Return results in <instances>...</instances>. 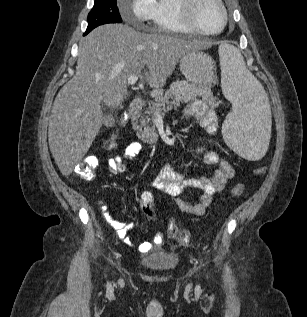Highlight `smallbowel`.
I'll use <instances>...</instances> for the list:
<instances>
[{
    "mask_svg": "<svg viewBox=\"0 0 307 317\" xmlns=\"http://www.w3.org/2000/svg\"><path fill=\"white\" fill-rule=\"evenodd\" d=\"M184 116L196 118L200 125L210 134H215L218 129L215 112L209 109L202 101L190 103L184 111ZM142 150L143 145L140 142L128 144L120 154L108 158V170L113 174L124 172L126 163L133 160ZM205 163L217 166L211 177L190 178L186 173L172 166H165L154 180L153 185L156 189L171 195L182 212L202 216L213 197L224 189L227 182L235 174L232 165L228 161L220 159L216 153L206 154ZM190 189H198L200 191L198 198L193 202L182 199V196ZM102 213L107 223L117 230L118 236L124 239L128 245H134L130 239L126 238L130 225L113 219L109 214V206L107 204L102 206ZM162 242V234L157 233L152 242H143L138 245V249L142 253H147L154 247L159 248Z\"/></svg>",
    "mask_w": 307,
    "mask_h": 317,
    "instance_id": "c3829d8e",
    "label": "small bowel"
}]
</instances>
